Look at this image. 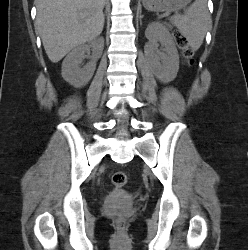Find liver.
Returning <instances> with one entry per match:
<instances>
[{"instance_id":"6515ba94","label":"liver","mask_w":248,"mask_h":250,"mask_svg":"<svg viewBox=\"0 0 248 250\" xmlns=\"http://www.w3.org/2000/svg\"><path fill=\"white\" fill-rule=\"evenodd\" d=\"M35 4L38 31L53 63L103 30L105 0H35Z\"/></svg>"}]
</instances>
